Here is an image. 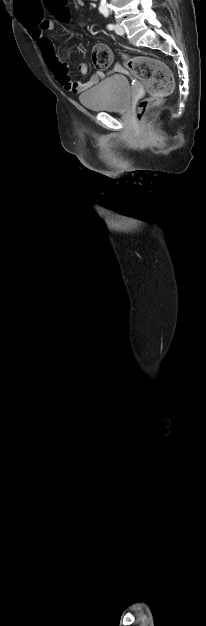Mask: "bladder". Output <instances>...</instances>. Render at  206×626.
<instances>
[{
	"label": "bladder",
	"instance_id": "1",
	"mask_svg": "<svg viewBox=\"0 0 206 626\" xmlns=\"http://www.w3.org/2000/svg\"><path fill=\"white\" fill-rule=\"evenodd\" d=\"M132 90L123 75H111L88 89L80 97V103L94 112L125 111L131 102Z\"/></svg>",
	"mask_w": 206,
	"mask_h": 626
}]
</instances>
